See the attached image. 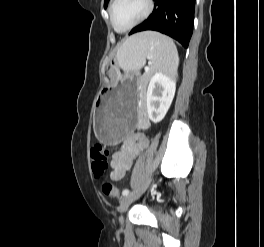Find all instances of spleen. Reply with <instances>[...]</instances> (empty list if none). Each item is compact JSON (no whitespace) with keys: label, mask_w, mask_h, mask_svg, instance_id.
Instances as JSON below:
<instances>
[{"label":"spleen","mask_w":264,"mask_h":247,"mask_svg":"<svg viewBox=\"0 0 264 247\" xmlns=\"http://www.w3.org/2000/svg\"><path fill=\"white\" fill-rule=\"evenodd\" d=\"M147 59L153 71L175 73L179 65L177 48L172 39L153 31L130 37L117 52L118 64L127 73H137Z\"/></svg>","instance_id":"spleen-1"}]
</instances>
